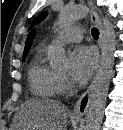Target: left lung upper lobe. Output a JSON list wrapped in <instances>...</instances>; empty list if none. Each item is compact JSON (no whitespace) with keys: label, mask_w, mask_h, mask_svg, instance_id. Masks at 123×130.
Returning <instances> with one entry per match:
<instances>
[{"label":"left lung upper lobe","mask_w":123,"mask_h":130,"mask_svg":"<svg viewBox=\"0 0 123 130\" xmlns=\"http://www.w3.org/2000/svg\"><path fill=\"white\" fill-rule=\"evenodd\" d=\"M45 17H46V14H45V13L39 15V16L34 20V22L32 23L31 27H33L34 25H36L37 23H39L40 21H42Z\"/></svg>","instance_id":"obj_1"}]
</instances>
